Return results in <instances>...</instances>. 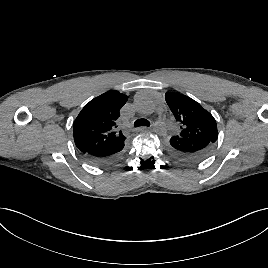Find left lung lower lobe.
Listing matches in <instances>:
<instances>
[{"mask_svg": "<svg viewBox=\"0 0 268 268\" xmlns=\"http://www.w3.org/2000/svg\"><path fill=\"white\" fill-rule=\"evenodd\" d=\"M165 146L168 153L178 160L194 163L207 158L214 147V143L201 138L171 137L166 141Z\"/></svg>", "mask_w": 268, "mask_h": 268, "instance_id": "left-lung-lower-lobe-1", "label": "left lung lower lobe"}]
</instances>
